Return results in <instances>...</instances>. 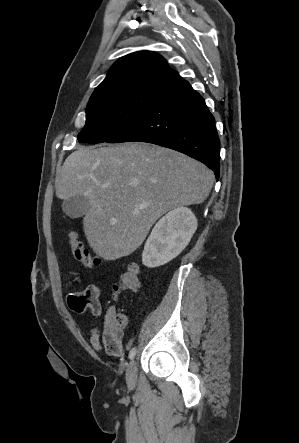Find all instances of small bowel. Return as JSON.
I'll use <instances>...</instances> for the list:
<instances>
[{"mask_svg": "<svg viewBox=\"0 0 299 443\" xmlns=\"http://www.w3.org/2000/svg\"><path fill=\"white\" fill-rule=\"evenodd\" d=\"M77 281L80 278H76ZM101 287L90 284L82 292L72 293L68 297L69 307L76 312L90 310L94 317L102 314V305L100 302ZM114 313L113 308H108L105 312V321ZM90 344L97 351L104 350L111 356H120L123 354V345L120 335L111 334L106 327L103 330L92 326L90 329Z\"/></svg>", "mask_w": 299, "mask_h": 443, "instance_id": "small-bowel-1", "label": "small bowel"}]
</instances>
